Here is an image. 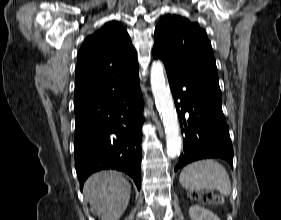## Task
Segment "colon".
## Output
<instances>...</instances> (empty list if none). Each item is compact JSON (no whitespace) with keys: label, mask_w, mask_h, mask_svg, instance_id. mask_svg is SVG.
<instances>
[{"label":"colon","mask_w":281,"mask_h":220,"mask_svg":"<svg viewBox=\"0 0 281 220\" xmlns=\"http://www.w3.org/2000/svg\"><path fill=\"white\" fill-rule=\"evenodd\" d=\"M191 197L197 201H201L209 204H221L223 198L210 191H194L191 193Z\"/></svg>","instance_id":"5ec220e1"}]
</instances>
